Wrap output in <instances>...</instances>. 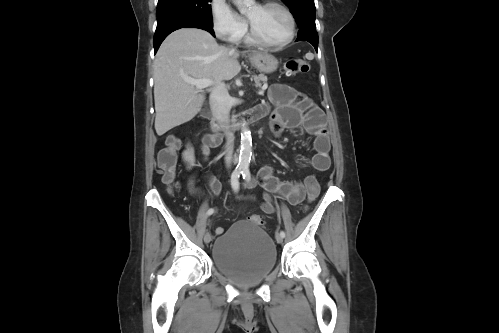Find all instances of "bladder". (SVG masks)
Instances as JSON below:
<instances>
[{
	"mask_svg": "<svg viewBox=\"0 0 499 333\" xmlns=\"http://www.w3.org/2000/svg\"><path fill=\"white\" fill-rule=\"evenodd\" d=\"M212 261L224 275L250 285L273 271L277 250L272 237L260 225L237 221L216 239Z\"/></svg>",
	"mask_w": 499,
	"mask_h": 333,
	"instance_id": "obj_1",
	"label": "bladder"
}]
</instances>
